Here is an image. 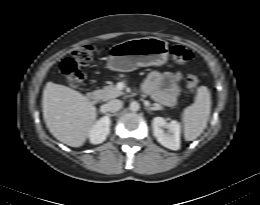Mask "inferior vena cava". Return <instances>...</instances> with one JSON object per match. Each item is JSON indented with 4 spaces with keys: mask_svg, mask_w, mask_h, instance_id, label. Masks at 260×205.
Here are the masks:
<instances>
[{
    "mask_svg": "<svg viewBox=\"0 0 260 205\" xmlns=\"http://www.w3.org/2000/svg\"><path fill=\"white\" fill-rule=\"evenodd\" d=\"M123 106L122 101L114 99L109 101L107 104H105V107L108 112H117L119 111Z\"/></svg>",
    "mask_w": 260,
    "mask_h": 205,
    "instance_id": "1",
    "label": "inferior vena cava"
}]
</instances>
